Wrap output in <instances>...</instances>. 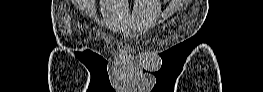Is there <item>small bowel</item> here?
<instances>
[{"label": "small bowel", "instance_id": "small-bowel-1", "mask_svg": "<svg viewBox=\"0 0 263 92\" xmlns=\"http://www.w3.org/2000/svg\"><path fill=\"white\" fill-rule=\"evenodd\" d=\"M115 3L120 4L122 9H127V4L124 1H116Z\"/></svg>", "mask_w": 263, "mask_h": 92}]
</instances>
